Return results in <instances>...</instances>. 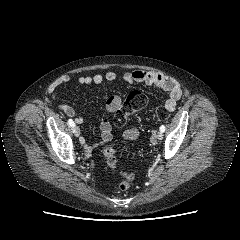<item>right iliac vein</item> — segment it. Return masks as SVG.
<instances>
[{
  "instance_id": "1",
  "label": "right iliac vein",
  "mask_w": 240,
  "mask_h": 240,
  "mask_svg": "<svg viewBox=\"0 0 240 240\" xmlns=\"http://www.w3.org/2000/svg\"><path fill=\"white\" fill-rule=\"evenodd\" d=\"M73 133L76 137H78L80 135V129L78 126L73 127Z\"/></svg>"
}]
</instances>
